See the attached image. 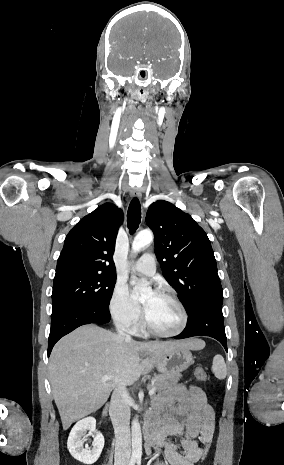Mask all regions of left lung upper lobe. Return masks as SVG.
<instances>
[{
  "label": "left lung upper lobe",
  "mask_w": 284,
  "mask_h": 465,
  "mask_svg": "<svg viewBox=\"0 0 284 465\" xmlns=\"http://www.w3.org/2000/svg\"><path fill=\"white\" fill-rule=\"evenodd\" d=\"M146 223L155 234V253L163 275L187 312L205 303H223V290L211 243L192 217L172 203H152Z\"/></svg>",
  "instance_id": "obj_1"
}]
</instances>
